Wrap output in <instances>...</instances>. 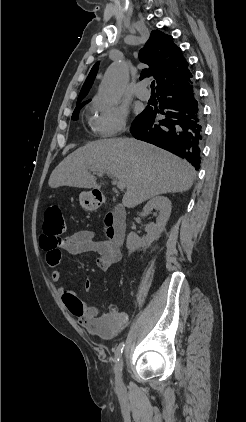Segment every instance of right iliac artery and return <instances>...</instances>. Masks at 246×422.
Listing matches in <instances>:
<instances>
[{
  "mask_svg": "<svg viewBox=\"0 0 246 422\" xmlns=\"http://www.w3.org/2000/svg\"><path fill=\"white\" fill-rule=\"evenodd\" d=\"M123 348H124V343L123 342H121L119 345H118V347H117V349H116V352H115V362H117V361H119V359H120V357H121V355H122V352H123Z\"/></svg>",
  "mask_w": 246,
  "mask_h": 422,
  "instance_id": "1",
  "label": "right iliac artery"
}]
</instances>
